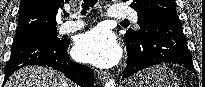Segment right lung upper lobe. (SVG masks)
I'll return each instance as SVG.
<instances>
[{"label":"right lung upper lobe","mask_w":205,"mask_h":87,"mask_svg":"<svg viewBox=\"0 0 205 87\" xmlns=\"http://www.w3.org/2000/svg\"><path fill=\"white\" fill-rule=\"evenodd\" d=\"M69 0H21L16 33L55 29L56 15Z\"/></svg>","instance_id":"right-lung-upper-lobe-1"}]
</instances>
